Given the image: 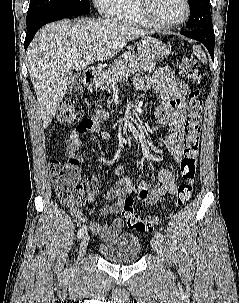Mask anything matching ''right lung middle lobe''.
Returning <instances> with one entry per match:
<instances>
[{"label":"right lung middle lobe","mask_w":239,"mask_h":303,"mask_svg":"<svg viewBox=\"0 0 239 303\" xmlns=\"http://www.w3.org/2000/svg\"><path fill=\"white\" fill-rule=\"evenodd\" d=\"M90 9L89 0H30L27 19L49 10Z\"/></svg>","instance_id":"right-lung-middle-lobe-1"}]
</instances>
